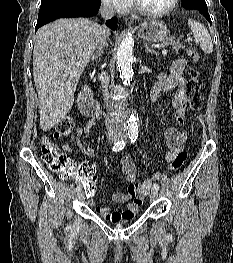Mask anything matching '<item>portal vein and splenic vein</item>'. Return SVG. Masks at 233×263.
Wrapping results in <instances>:
<instances>
[{"label":"portal vein and splenic vein","mask_w":233,"mask_h":263,"mask_svg":"<svg viewBox=\"0 0 233 263\" xmlns=\"http://www.w3.org/2000/svg\"><path fill=\"white\" fill-rule=\"evenodd\" d=\"M167 52H168V51H167L166 49H164V50L162 51V54H163V55H166Z\"/></svg>","instance_id":"portal-vein-and-splenic-vein-1"}]
</instances>
